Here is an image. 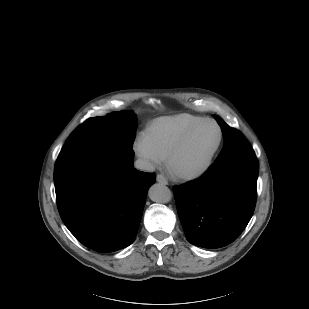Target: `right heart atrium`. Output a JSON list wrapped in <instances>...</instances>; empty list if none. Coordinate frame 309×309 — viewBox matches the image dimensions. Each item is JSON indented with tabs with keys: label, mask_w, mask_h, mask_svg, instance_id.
<instances>
[{
	"label": "right heart atrium",
	"mask_w": 309,
	"mask_h": 309,
	"mask_svg": "<svg viewBox=\"0 0 309 309\" xmlns=\"http://www.w3.org/2000/svg\"><path fill=\"white\" fill-rule=\"evenodd\" d=\"M134 152L148 166L160 164L161 159L150 149L143 137H139L133 146Z\"/></svg>",
	"instance_id": "obj_1"
}]
</instances>
